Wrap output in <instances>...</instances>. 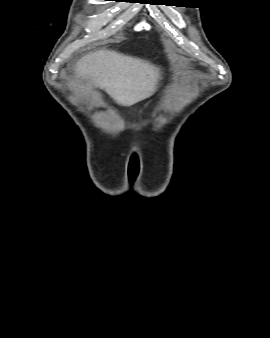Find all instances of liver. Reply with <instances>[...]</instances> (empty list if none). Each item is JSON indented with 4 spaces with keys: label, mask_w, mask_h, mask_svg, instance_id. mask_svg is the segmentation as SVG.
<instances>
[{
    "label": "liver",
    "mask_w": 270,
    "mask_h": 338,
    "mask_svg": "<svg viewBox=\"0 0 270 338\" xmlns=\"http://www.w3.org/2000/svg\"><path fill=\"white\" fill-rule=\"evenodd\" d=\"M74 71L77 77L104 88L121 105L151 96L161 77L160 69L150 62L105 49L84 55Z\"/></svg>",
    "instance_id": "1"
}]
</instances>
